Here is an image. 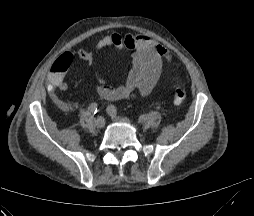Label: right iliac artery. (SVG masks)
I'll use <instances>...</instances> for the list:
<instances>
[{
    "label": "right iliac artery",
    "mask_w": 254,
    "mask_h": 216,
    "mask_svg": "<svg viewBox=\"0 0 254 216\" xmlns=\"http://www.w3.org/2000/svg\"><path fill=\"white\" fill-rule=\"evenodd\" d=\"M88 110H89V112H90L91 114H96L97 111H98V105H97V103H92V104H90Z\"/></svg>",
    "instance_id": "1"
}]
</instances>
